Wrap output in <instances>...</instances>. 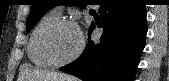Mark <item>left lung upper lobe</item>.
I'll return each instance as SVG.
<instances>
[{
	"label": "left lung upper lobe",
	"instance_id": "left-lung-upper-lobe-1",
	"mask_svg": "<svg viewBox=\"0 0 169 81\" xmlns=\"http://www.w3.org/2000/svg\"><path fill=\"white\" fill-rule=\"evenodd\" d=\"M54 6H56L55 0H31V11L27 19L26 33H29L35 23Z\"/></svg>",
	"mask_w": 169,
	"mask_h": 81
}]
</instances>
